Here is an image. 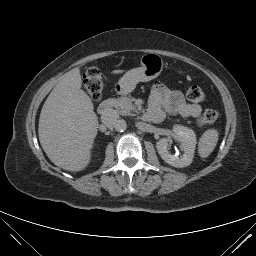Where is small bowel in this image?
Wrapping results in <instances>:
<instances>
[{"mask_svg": "<svg viewBox=\"0 0 256 256\" xmlns=\"http://www.w3.org/2000/svg\"><path fill=\"white\" fill-rule=\"evenodd\" d=\"M202 112L200 105L188 103L180 91L170 90L161 83L153 85L149 100L148 117L161 122L166 114L182 117H198Z\"/></svg>", "mask_w": 256, "mask_h": 256, "instance_id": "c3829d8e", "label": "small bowel"}]
</instances>
